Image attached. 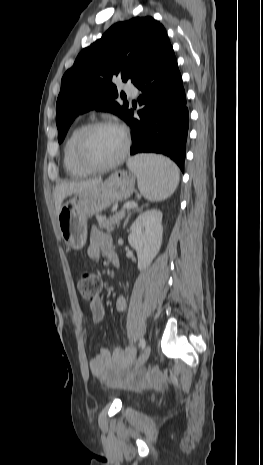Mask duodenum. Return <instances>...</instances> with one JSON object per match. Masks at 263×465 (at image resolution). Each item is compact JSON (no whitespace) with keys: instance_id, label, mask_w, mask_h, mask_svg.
<instances>
[{"instance_id":"duodenum-1","label":"duodenum","mask_w":263,"mask_h":465,"mask_svg":"<svg viewBox=\"0 0 263 465\" xmlns=\"http://www.w3.org/2000/svg\"><path fill=\"white\" fill-rule=\"evenodd\" d=\"M109 259L111 260L113 265L118 266L119 261H118V257L115 252L110 253Z\"/></svg>"}]
</instances>
